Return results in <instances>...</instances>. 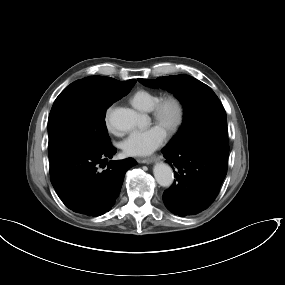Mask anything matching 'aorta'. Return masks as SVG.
<instances>
[{
    "instance_id": "1",
    "label": "aorta",
    "mask_w": 285,
    "mask_h": 285,
    "mask_svg": "<svg viewBox=\"0 0 285 285\" xmlns=\"http://www.w3.org/2000/svg\"><path fill=\"white\" fill-rule=\"evenodd\" d=\"M142 117L129 108L117 107L109 111V124L119 131H129L141 123ZM157 183L162 187H170L174 180L172 168L165 163H157L153 169Z\"/></svg>"
}]
</instances>
